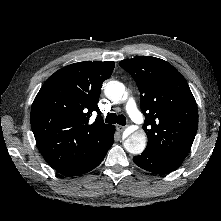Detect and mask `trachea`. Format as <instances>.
Instances as JSON below:
<instances>
[{"label":"trachea","instance_id":"1","mask_svg":"<svg viewBox=\"0 0 221 221\" xmlns=\"http://www.w3.org/2000/svg\"><path fill=\"white\" fill-rule=\"evenodd\" d=\"M106 123L110 124H119V125H126V118L124 115H117L116 113H110L106 116L105 119Z\"/></svg>","mask_w":221,"mask_h":221}]
</instances>
